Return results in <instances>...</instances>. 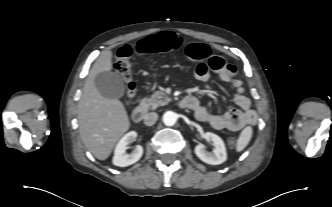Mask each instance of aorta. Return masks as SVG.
<instances>
[{"instance_id": "aorta-1", "label": "aorta", "mask_w": 332, "mask_h": 207, "mask_svg": "<svg viewBox=\"0 0 332 207\" xmlns=\"http://www.w3.org/2000/svg\"><path fill=\"white\" fill-rule=\"evenodd\" d=\"M177 121L176 113L172 111H167L163 115V123L167 126H173Z\"/></svg>"}]
</instances>
